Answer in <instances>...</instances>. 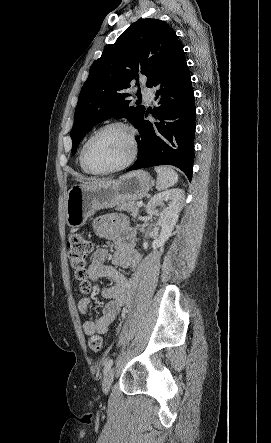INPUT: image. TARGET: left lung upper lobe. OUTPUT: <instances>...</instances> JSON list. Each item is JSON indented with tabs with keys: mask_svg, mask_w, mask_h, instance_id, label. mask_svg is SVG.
<instances>
[{
	"mask_svg": "<svg viewBox=\"0 0 271 443\" xmlns=\"http://www.w3.org/2000/svg\"><path fill=\"white\" fill-rule=\"evenodd\" d=\"M182 45L175 31L164 21L142 19L106 47L90 67L81 89L71 130L72 154L84 135L96 124L114 116L126 117L137 128L145 112L143 106H129L134 82L143 77L147 86L172 50Z\"/></svg>",
	"mask_w": 271,
	"mask_h": 443,
	"instance_id": "obj_1",
	"label": "left lung upper lobe"
}]
</instances>
